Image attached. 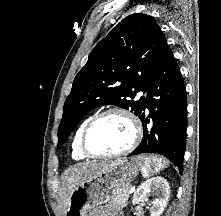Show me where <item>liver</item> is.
I'll list each match as a JSON object with an SVG mask.
<instances>
[{
  "label": "liver",
  "mask_w": 221,
  "mask_h": 216,
  "mask_svg": "<svg viewBox=\"0 0 221 216\" xmlns=\"http://www.w3.org/2000/svg\"><path fill=\"white\" fill-rule=\"evenodd\" d=\"M104 165H106L105 162L97 163L95 161H91L80 163L64 172L61 181V188L59 191V196L63 208H65L71 192L88 176L99 170Z\"/></svg>",
  "instance_id": "1"
}]
</instances>
